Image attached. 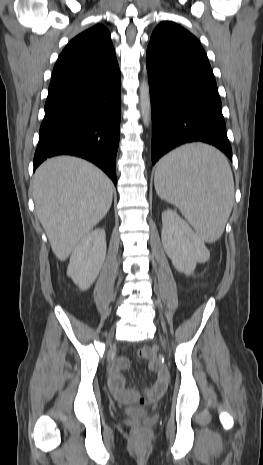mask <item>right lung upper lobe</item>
<instances>
[{
	"mask_svg": "<svg viewBox=\"0 0 263 465\" xmlns=\"http://www.w3.org/2000/svg\"><path fill=\"white\" fill-rule=\"evenodd\" d=\"M118 69L110 32L98 24L67 44L54 66L49 88L103 78Z\"/></svg>",
	"mask_w": 263,
	"mask_h": 465,
	"instance_id": "1",
	"label": "right lung upper lobe"
}]
</instances>
